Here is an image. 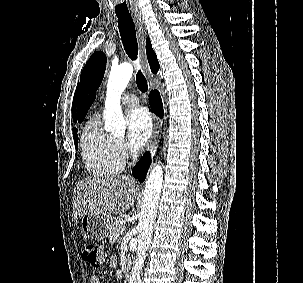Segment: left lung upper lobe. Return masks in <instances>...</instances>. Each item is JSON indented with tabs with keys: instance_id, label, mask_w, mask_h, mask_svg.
Here are the masks:
<instances>
[{
	"instance_id": "obj_1",
	"label": "left lung upper lobe",
	"mask_w": 303,
	"mask_h": 283,
	"mask_svg": "<svg viewBox=\"0 0 303 283\" xmlns=\"http://www.w3.org/2000/svg\"><path fill=\"white\" fill-rule=\"evenodd\" d=\"M106 61L103 52H95L82 70L78 97V121L80 123L84 120L88 109L95 100L97 89L104 77Z\"/></svg>"
}]
</instances>
